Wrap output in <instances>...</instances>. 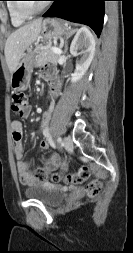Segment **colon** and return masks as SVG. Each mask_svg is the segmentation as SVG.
Returning <instances> with one entry per match:
<instances>
[{"instance_id": "obj_1", "label": "colon", "mask_w": 133, "mask_h": 253, "mask_svg": "<svg viewBox=\"0 0 133 253\" xmlns=\"http://www.w3.org/2000/svg\"><path fill=\"white\" fill-rule=\"evenodd\" d=\"M28 100L27 96L23 92H16L12 95L11 99V109L14 113L21 115L25 108L27 107ZM37 175L39 178L44 179L46 177L43 168L37 170ZM90 176L89 168L83 166L79 168L76 172L70 174H63L61 172H53L50 176V179L54 182L65 181L71 184H81L88 180ZM102 188L100 181L94 180L87 184L86 191L88 196L95 197L97 196Z\"/></svg>"}]
</instances>
